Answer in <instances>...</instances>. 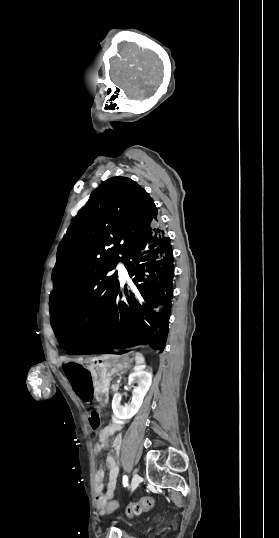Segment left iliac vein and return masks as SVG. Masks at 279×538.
Here are the masks:
<instances>
[{"mask_svg": "<svg viewBox=\"0 0 279 538\" xmlns=\"http://www.w3.org/2000/svg\"><path fill=\"white\" fill-rule=\"evenodd\" d=\"M140 481H141L140 476L137 473H134L132 477V481H131V486H130L131 491H134L138 487Z\"/></svg>", "mask_w": 279, "mask_h": 538, "instance_id": "obj_1", "label": "left iliac vein"}]
</instances>
